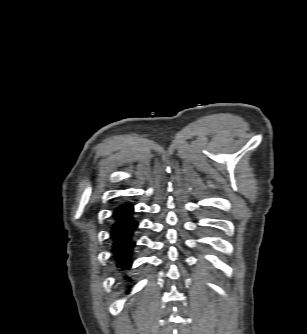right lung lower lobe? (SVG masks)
Returning a JSON list of instances; mask_svg holds the SVG:
<instances>
[{"instance_id": "98d812e1", "label": "right lung lower lobe", "mask_w": 307, "mask_h": 334, "mask_svg": "<svg viewBox=\"0 0 307 334\" xmlns=\"http://www.w3.org/2000/svg\"><path fill=\"white\" fill-rule=\"evenodd\" d=\"M133 205L125 203L114 209L110 239L112 242V259L118 271L123 272L131 267V255L135 246L134 232L138 222L133 218Z\"/></svg>"}]
</instances>
